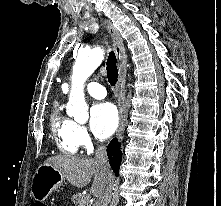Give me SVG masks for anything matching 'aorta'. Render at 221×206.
Masks as SVG:
<instances>
[{
	"mask_svg": "<svg viewBox=\"0 0 221 206\" xmlns=\"http://www.w3.org/2000/svg\"><path fill=\"white\" fill-rule=\"evenodd\" d=\"M104 59V50L95 47L78 53L73 66L71 91L67 105V113L76 121L87 120L88 105L85 101L84 83L88 77L97 69Z\"/></svg>",
	"mask_w": 221,
	"mask_h": 206,
	"instance_id": "1",
	"label": "aorta"
}]
</instances>
